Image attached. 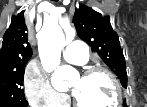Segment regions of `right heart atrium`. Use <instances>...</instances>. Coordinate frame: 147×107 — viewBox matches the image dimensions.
<instances>
[{
	"instance_id": "obj_1",
	"label": "right heart atrium",
	"mask_w": 147,
	"mask_h": 107,
	"mask_svg": "<svg viewBox=\"0 0 147 107\" xmlns=\"http://www.w3.org/2000/svg\"><path fill=\"white\" fill-rule=\"evenodd\" d=\"M24 90L29 104L35 107H58L66 102V97L52 87L47 74L37 65L27 67Z\"/></svg>"
}]
</instances>
